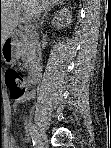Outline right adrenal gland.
Instances as JSON below:
<instances>
[{"label": "right adrenal gland", "instance_id": "2a0ac1e0", "mask_svg": "<svg viewBox=\"0 0 111 148\" xmlns=\"http://www.w3.org/2000/svg\"><path fill=\"white\" fill-rule=\"evenodd\" d=\"M59 1H55V2H53L51 5H50V8L44 13V17L43 18H45L47 15H48V12L49 11H51V9L52 8H54L56 5H59V3H58Z\"/></svg>", "mask_w": 111, "mask_h": 148}]
</instances>
